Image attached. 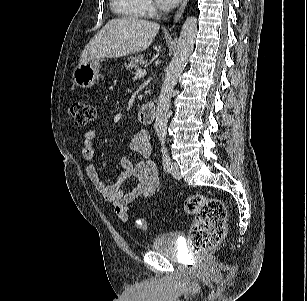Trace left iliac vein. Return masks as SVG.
<instances>
[{
    "mask_svg": "<svg viewBox=\"0 0 307 301\" xmlns=\"http://www.w3.org/2000/svg\"><path fill=\"white\" fill-rule=\"evenodd\" d=\"M171 172H172V175H173L174 178L181 179L180 167H179V164L177 162L172 163Z\"/></svg>",
    "mask_w": 307,
    "mask_h": 301,
    "instance_id": "left-iliac-vein-1",
    "label": "left iliac vein"
}]
</instances>
